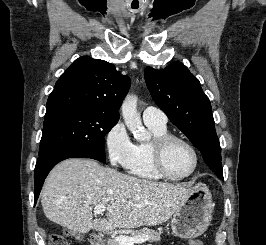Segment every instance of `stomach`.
Returning a JSON list of instances; mask_svg holds the SVG:
<instances>
[{
    "label": "stomach",
    "mask_w": 266,
    "mask_h": 245,
    "mask_svg": "<svg viewBox=\"0 0 266 245\" xmlns=\"http://www.w3.org/2000/svg\"><path fill=\"white\" fill-rule=\"evenodd\" d=\"M213 213L212 195L203 183H196L181 207L173 213L171 221L174 237L195 239L205 233Z\"/></svg>",
    "instance_id": "obj_1"
}]
</instances>
